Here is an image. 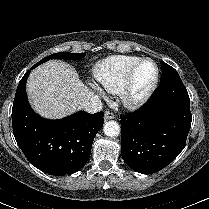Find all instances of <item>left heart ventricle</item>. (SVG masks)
Listing matches in <instances>:
<instances>
[{
    "mask_svg": "<svg viewBox=\"0 0 209 209\" xmlns=\"http://www.w3.org/2000/svg\"><path fill=\"white\" fill-rule=\"evenodd\" d=\"M155 76V67L151 62H143L135 72L133 79V93L140 95L145 92Z\"/></svg>",
    "mask_w": 209,
    "mask_h": 209,
    "instance_id": "left-heart-ventricle-1",
    "label": "left heart ventricle"
}]
</instances>
